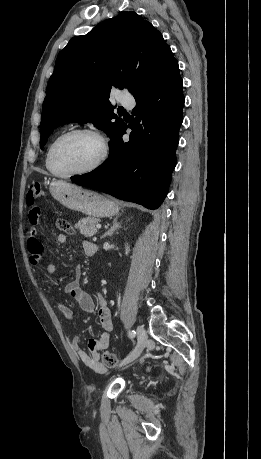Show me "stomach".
Here are the masks:
<instances>
[{
  "label": "stomach",
  "instance_id": "1",
  "mask_svg": "<svg viewBox=\"0 0 261 459\" xmlns=\"http://www.w3.org/2000/svg\"><path fill=\"white\" fill-rule=\"evenodd\" d=\"M50 193L63 206L90 217H111L119 212L115 201L65 181L51 182Z\"/></svg>",
  "mask_w": 261,
  "mask_h": 459
}]
</instances>
